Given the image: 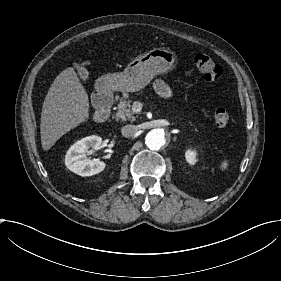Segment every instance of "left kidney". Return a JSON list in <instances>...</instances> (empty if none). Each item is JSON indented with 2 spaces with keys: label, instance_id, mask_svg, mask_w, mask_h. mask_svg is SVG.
<instances>
[{
  "label": "left kidney",
  "instance_id": "left-kidney-1",
  "mask_svg": "<svg viewBox=\"0 0 281 281\" xmlns=\"http://www.w3.org/2000/svg\"><path fill=\"white\" fill-rule=\"evenodd\" d=\"M185 161L190 166H195L200 159V155L195 148L188 147L184 151Z\"/></svg>",
  "mask_w": 281,
  "mask_h": 281
}]
</instances>
